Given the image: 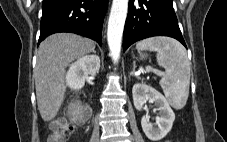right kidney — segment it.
<instances>
[{
  "instance_id": "1",
  "label": "right kidney",
  "mask_w": 227,
  "mask_h": 142,
  "mask_svg": "<svg viewBox=\"0 0 227 142\" xmlns=\"http://www.w3.org/2000/svg\"><path fill=\"white\" fill-rule=\"evenodd\" d=\"M100 69V58L97 55L83 56L74 62L66 74V83L71 90L83 88L88 75L96 76Z\"/></svg>"
}]
</instances>
